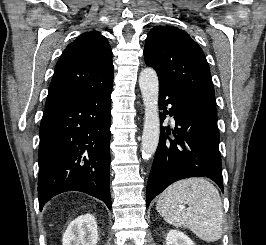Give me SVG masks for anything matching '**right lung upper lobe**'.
Here are the masks:
<instances>
[{"label":"right lung upper lobe","instance_id":"cb5924a9","mask_svg":"<svg viewBox=\"0 0 266 245\" xmlns=\"http://www.w3.org/2000/svg\"><path fill=\"white\" fill-rule=\"evenodd\" d=\"M112 52L99 32L81 34L64 50L55 66L45 111L84 91H100L113 85Z\"/></svg>","mask_w":266,"mask_h":245}]
</instances>
